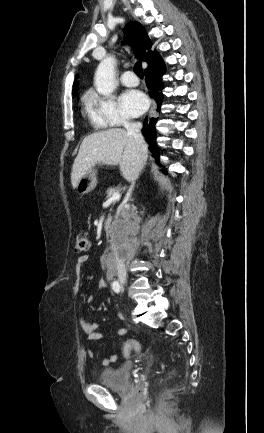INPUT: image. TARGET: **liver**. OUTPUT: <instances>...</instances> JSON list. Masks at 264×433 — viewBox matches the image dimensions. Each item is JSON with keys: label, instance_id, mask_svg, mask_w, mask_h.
Masks as SVG:
<instances>
[{"label": "liver", "instance_id": "6515ba94", "mask_svg": "<svg viewBox=\"0 0 264 433\" xmlns=\"http://www.w3.org/2000/svg\"><path fill=\"white\" fill-rule=\"evenodd\" d=\"M147 159V149L142 157L134 138L124 129L113 128L85 137L73 163L72 187L96 164L119 165L122 176L130 181L138 177ZM141 160V162H140Z\"/></svg>", "mask_w": 264, "mask_h": 433}]
</instances>
